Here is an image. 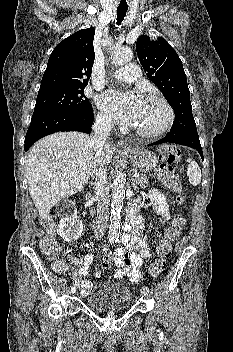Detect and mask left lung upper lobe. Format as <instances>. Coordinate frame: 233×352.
<instances>
[{"label": "left lung upper lobe", "mask_w": 233, "mask_h": 352, "mask_svg": "<svg viewBox=\"0 0 233 352\" xmlns=\"http://www.w3.org/2000/svg\"><path fill=\"white\" fill-rule=\"evenodd\" d=\"M139 61L147 77L163 93L175 111L170 133L177 136L196 134L190 91L182 62L164 38L152 40L142 35L136 43Z\"/></svg>", "instance_id": "5c2ea615"}]
</instances>
